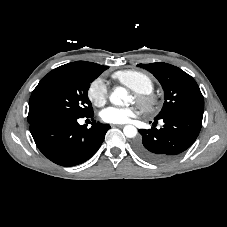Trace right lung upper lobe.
<instances>
[{
  "mask_svg": "<svg viewBox=\"0 0 227 227\" xmlns=\"http://www.w3.org/2000/svg\"><path fill=\"white\" fill-rule=\"evenodd\" d=\"M71 65H75V66H98L99 64L96 63H92V62H86V61H77V62H72L69 63Z\"/></svg>",
  "mask_w": 227,
  "mask_h": 227,
  "instance_id": "obj_1",
  "label": "right lung upper lobe"
}]
</instances>
